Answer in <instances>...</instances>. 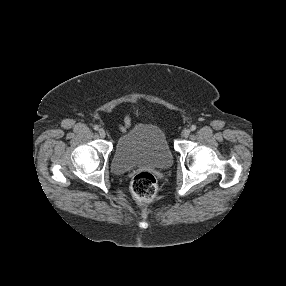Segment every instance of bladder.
Returning a JSON list of instances; mask_svg holds the SVG:
<instances>
[{
    "label": "bladder",
    "instance_id": "obj_1",
    "mask_svg": "<svg viewBox=\"0 0 286 286\" xmlns=\"http://www.w3.org/2000/svg\"><path fill=\"white\" fill-rule=\"evenodd\" d=\"M172 161L164 132L154 124L136 122L119 137L111 165L116 174H123L140 166L166 169Z\"/></svg>",
    "mask_w": 286,
    "mask_h": 286
}]
</instances>
